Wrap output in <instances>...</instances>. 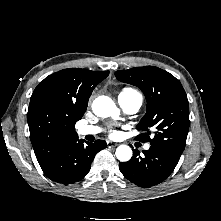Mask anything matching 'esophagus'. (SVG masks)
<instances>
[{
    "instance_id": "34e87169",
    "label": "esophagus",
    "mask_w": 221,
    "mask_h": 221,
    "mask_svg": "<svg viewBox=\"0 0 221 221\" xmlns=\"http://www.w3.org/2000/svg\"><path fill=\"white\" fill-rule=\"evenodd\" d=\"M118 144L117 143H113V142H111V141H107V147L108 148H114V147H116Z\"/></svg>"
}]
</instances>
